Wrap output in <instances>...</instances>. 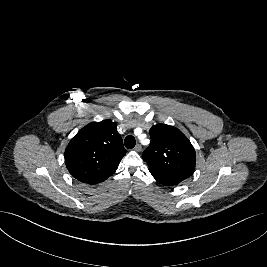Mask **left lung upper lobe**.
I'll return each mask as SVG.
<instances>
[{"label": "left lung upper lobe", "instance_id": "5c2ea615", "mask_svg": "<svg viewBox=\"0 0 267 267\" xmlns=\"http://www.w3.org/2000/svg\"><path fill=\"white\" fill-rule=\"evenodd\" d=\"M151 143L142 158L153 175L183 181L195 169L196 153L187 137L176 127L156 124L150 129Z\"/></svg>", "mask_w": 267, "mask_h": 267}]
</instances>
